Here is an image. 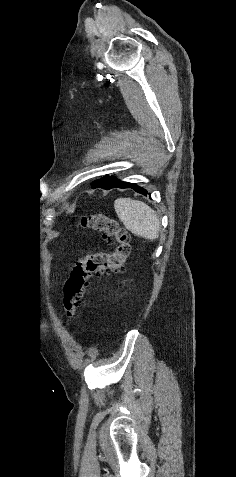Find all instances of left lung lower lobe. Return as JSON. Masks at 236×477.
<instances>
[{"label": "left lung lower lobe", "instance_id": "1", "mask_svg": "<svg viewBox=\"0 0 236 477\" xmlns=\"http://www.w3.org/2000/svg\"><path fill=\"white\" fill-rule=\"evenodd\" d=\"M112 188H130V189H133L135 192L137 193H140V194H143V195H147L148 194V191L142 187H140L139 185H137L136 183H130V182H122V183H118L116 184L114 187ZM111 188V189H112Z\"/></svg>", "mask_w": 236, "mask_h": 477}]
</instances>
